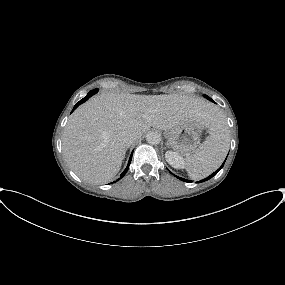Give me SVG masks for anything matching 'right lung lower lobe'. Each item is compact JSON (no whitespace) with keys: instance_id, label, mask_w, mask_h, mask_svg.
<instances>
[{"instance_id":"right-lung-lower-lobe-1","label":"right lung lower lobe","mask_w":285,"mask_h":285,"mask_svg":"<svg viewBox=\"0 0 285 285\" xmlns=\"http://www.w3.org/2000/svg\"><path fill=\"white\" fill-rule=\"evenodd\" d=\"M98 91L96 89L94 90H91L86 97H84L82 100H80L78 103H76V105L74 106L73 110L74 111L80 104L84 103L85 101H87L92 95H94L95 93H97ZM131 160H132V154L130 156V159H129V162H128V165L126 167V169L123 171V173L121 174V178L126 174V172L128 171V168H129V165L131 163ZM119 180V179H118Z\"/></svg>"}]
</instances>
